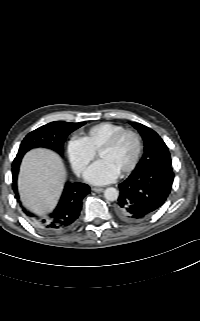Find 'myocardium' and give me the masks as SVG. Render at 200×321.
Segmentation results:
<instances>
[{"label":"myocardium","instance_id":"f54148a6","mask_svg":"<svg viewBox=\"0 0 200 321\" xmlns=\"http://www.w3.org/2000/svg\"><path fill=\"white\" fill-rule=\"evenodd\" d=\"M125 135H132L136 141V152L134 155V158L132 162L120 173L121 176H125L129 173H131L137 166L141 154H142V149H143V143H142V138L140 134L129 128H125L115 135H113L110 139H108L98 150V155L101 151L111 149L117 145V143L124 137Z\"/></svg>","mask_w":200,"mask_h":321}]
</instances>
